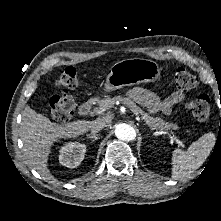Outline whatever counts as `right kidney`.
I'll list each match as a JSON object with an SVG mask.
<instances>
[{
	"label": "right kidney",
	"mask_w": 221,
	"mask_h": 221,
	"mask_svg": "<svg viewBox=\"0 0 221 221\" xmlns=\"http://www.w3.org/2000/svg\"><path fill=\"white\" fill-rule=\"evenodd\" d=\"M85 153V144L69 142L61 148L59 162L68 168H76L83 161Z\"/></svg>",
	"instance_id": "ca27d5eb"
}]
</instances>
